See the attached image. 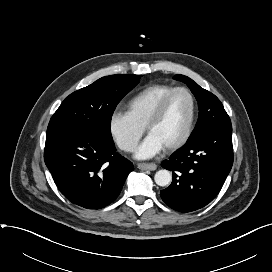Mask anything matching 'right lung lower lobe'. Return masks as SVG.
Returning <instances> with one entry per match:
<instances>
[{"label":"right lung lower lobe","instance_id":"1","mask_svg":"<svg viewBox=\"0 0 272 272\" xmlns=\"http://www.w3.org/2000/svg\"><path fill=\"white\" fill-rule=\"evenodd\" d=\"M44 161L60 192L72 203L100 209L119 195L133 164L113 143L90 131L46 140Z\"/></svg>","mask_w":272,"mask_h":272}]
</instances>
